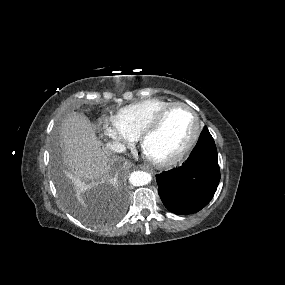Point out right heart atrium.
I'll return each mask as SVG.
<instances>
[{
	"label": "right heart atrium",
	"instance_id": "d8ad5b80",
	"mask_svg": "<svg viewBox=\"0 0 285 285\" xmlns=\"http://www.w3.org/2000/svg\"><path fill=\"white\" fill-rule=\"evenodd\" d=\"M99 127L103 136L112 141L118 149L126 148L137 139V135L127 129L117 116L101 118Z\"/></svg>",
	"mask_w": 285,
	"mask_h": 285
}]
</instances>
